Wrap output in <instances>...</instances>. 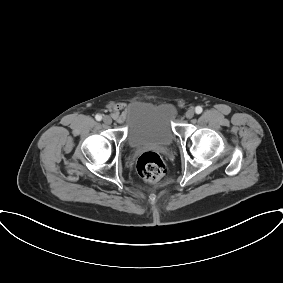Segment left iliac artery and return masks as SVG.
Masks as SVG:
<instances>
[{
    "instance_id": "left-iliac-artery-1",
    "label": "left iliac artery",
    "mask_w": 283,
    "mask_h": 283,
    "mask_svg": "<svg viewBox=\"0 0 283 283\" xmlns=\"http://www.w3.org/2000/svg\"><path fill=\"white\" fill-rule=\"evenodd\" d=\"M202 111H203V109H202L201 106H197V107L195 108V112H196L197 114H200Z\"/></svg>"
}]
</instances>
